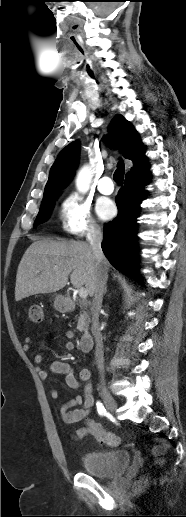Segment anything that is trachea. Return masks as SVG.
Instances as JSON below:
<instances>
[{
  "mask_svg": "<svg viewBox=\"0 0 186 517\" xmlns=\"http://www.w3.org/2000/svg\"><path fill=\"white\" fill-rule=\"evenodd\" d=\"M124 173H125V165H124L123 160L121 159L119 161L117 169L113 175V179L117 184H123Z\"/></svg>",
  "mask_w": 186,
  "mask_h": 517,
  "instance_id": "trachea-1",
  "label": "trachea"
}]
</instances>
